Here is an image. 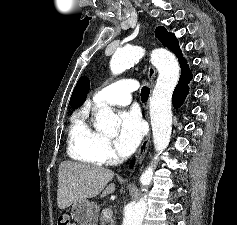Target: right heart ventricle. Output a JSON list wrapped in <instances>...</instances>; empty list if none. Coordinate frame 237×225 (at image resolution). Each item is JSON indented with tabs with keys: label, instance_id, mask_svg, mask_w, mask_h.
Masks as SVG:
<instances>
[{
	"label": "right heart ventricle",
	"instance_id": "e07e8e85",
	"mask_svg": "<svg viewBox=\"0 0 237 225\" xmlns=\"http://www.w3.org/2000/svg\"><path fill=\"white\" fill-rule=\"evenodd\" d=\"M102 135L88 121V111L77 112L69 131V154L78 161L101 165L97 146Z\"/></svg>",
	"mask_w": 237,
	"mask_h": 225
}]
</instances>
